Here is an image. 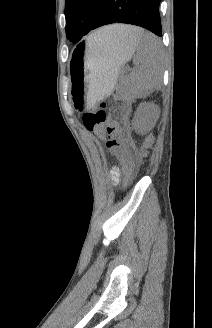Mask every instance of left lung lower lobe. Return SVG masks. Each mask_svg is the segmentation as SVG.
I'll use <instances>...</instances> for the list:
<instances>
[{
    "label": "left lung lower lobe",
    "instance_id": "1",
    "mask_svg": "<svg viewBox=\"0 0 212 328\" xmlns=\"http://www.w3.org/2000/svg\"><path fill=\"white\" fill-rule=\"evenodd\" d=\"M161 0H103L91 30L112 23H127L162 36Z\"/></svg>",
    "mask_w": 212,
    "mask_h": 328
}]
</instances>
